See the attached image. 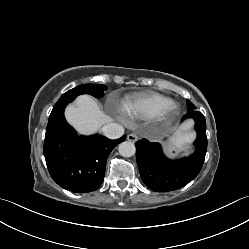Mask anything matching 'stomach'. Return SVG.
I'll list each match as a JSON object with an SVG mask.
<instances>
[{"label":"stomach","instance_id":"obj_1","mask_svg":"<svg viewBox=\"0 0 249 249\" xmlns=\"http://www.w3.org/2000/svg\"><path fill=\"white\" fill-rule=\"evenodd\" d=\"M181 150H182V142L179 141L178 139L172 140L166 145V151L170 157L174 158L178 156Z\"/></svg>","mask_w":249,"mask_h":249}]
</instances>
